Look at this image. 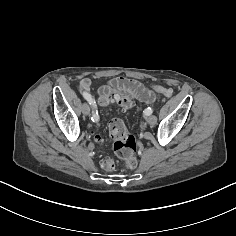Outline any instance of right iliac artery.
<instances>
[{"mask_svg": "<svg viewBox=\"0 0 236 236\" xmlns=\"http://www.w3.org/2000/svg\"><path fill=\"white\" fill-rule=\"evenodd\" d=\"M82 95L89 102V104L94 105L95 102H93L91 96L88 93L82 92ZM91 120L93 122H97L99 120V116H98V113L96 111H93V115L91 117Z\"/></svg>", "mask_w": 236, "mask_h": 236, "instance_id": "obj_1", "label": "right iliac artery"}]
</instances>
